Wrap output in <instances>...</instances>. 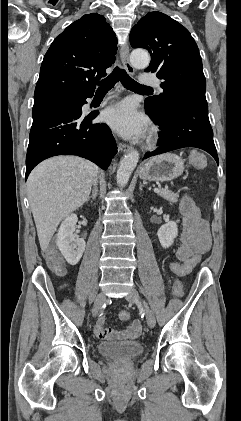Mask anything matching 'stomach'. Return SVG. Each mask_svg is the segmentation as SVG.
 I'll return each mask as SVG.
<instances>
[{
  "instance_id": "0dacf381",
  "label": "stomach",
  "mask_w": 241,
  "mask_h": 421,
  "mask_svg": "<svg viewBox=\"0 0 241 421\" xmlns=\"http://www.w3.org/2000/svg\"><path fill=\"white\" fill-rule=\"evenodd\" d=\"M184 171V161L176 154L167 153L146 161L139 170V176L148 181H170Z\"/></svg>"
}]
</instances>
